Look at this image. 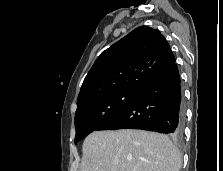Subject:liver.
Instances as JSON below:
<instances>
[{
    "label": "liver",
    "instance_id": "obj_1",
    "mask_svg": "<svg viewBox=\"0 0 223 171\" xmlns=\"http://www.w3.org/2000/svg\"><path fill=\"white\" fill-rule=\"evenodd\" d=\"M82 148L80 171H180L182 165L167 136L144 130L95 131Z\"/></svg>",
    "mask_w": 223,
    "mask_h": 171
}]
</instances>
